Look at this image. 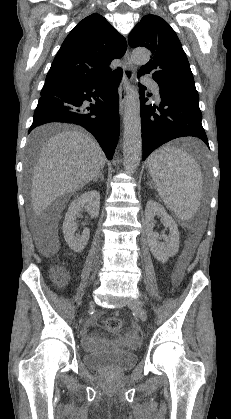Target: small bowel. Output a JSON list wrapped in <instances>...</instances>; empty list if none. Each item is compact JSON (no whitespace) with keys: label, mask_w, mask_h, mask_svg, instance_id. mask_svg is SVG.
<instances>
[{"label":"small bowel","mask_w":231,"mask_h":419,"mask_svg":"<svg viewBox=\"0 0 231 419\" xmlns=\"http://www.w3.org/2000/svg\"><path fill=\"white\" fill-rule=\"evenodd\" d=\"M99 315L100 314H96L92 319H90L87 323L86 329L84 330L83 345H84L85 349H87V350H94L99 345L106 344V343L110 342L109 339H107L105 337L94 335V334H91L89 332V329L91 327L96 326L97 318L99 317ZM126 340H129L132 344H135L138 341L136 337H133V338H128L127 337V338H123L121 340V342H124Z\"/></svg>","instance_id":"obj_1"}]
</instances>
